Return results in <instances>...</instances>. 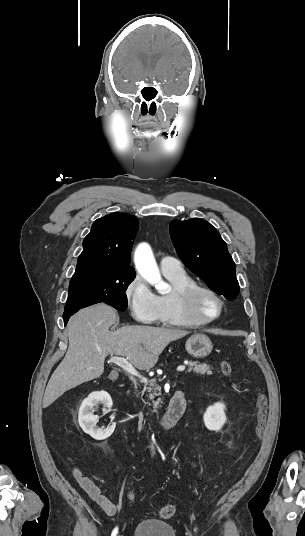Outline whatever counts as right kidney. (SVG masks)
<instances>
[{
	"label": "right kidney",
	"instance_id": "ca27d5eb",
	"mask_svg": "<svg viewBox=\"0 0 305 536\" xmlns=\"http://www.w3.org/2000/svg\"><path fill=\"white\" fill-rule=\"evenodd\" d=\"M97 404H104L105 408H111L112 406V400L107 394V392H97V394H90L84 402L81 404L80 412H79V424L84 430L85 434H89V436H92V438H95V440H106V438H109L111 434H113L116 424H112V426H109V428H106V430H101V428H98L96 426L98 422V416H94L93 414V406H97ZM103 408V410H105Z\"/></svg>",
	"mask_w": 305,
	"mask_h": 536
}]
</instances>
